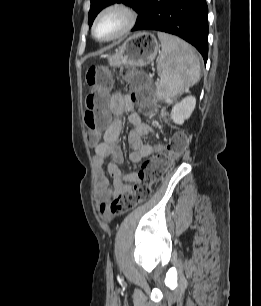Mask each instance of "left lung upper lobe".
<instances>
[{
  "label": "left lung upper lobe",
  "instance_id": "obj_1",
  "mask_svg": "<svg viewBox=\"0 0 261 306\" xmlns=\"http://www.w3.org/2000/svg\"><path fill=\"white\" fill-rule=\"evenodd\" d=\"M146 0H91V7L88 14V22L91 26L96 15L106 6L113 3H123L131 6L136 12H140Z\"/></svg>",
  "mask_w": 261,
  "mask_h": 306
}]
</instances>
